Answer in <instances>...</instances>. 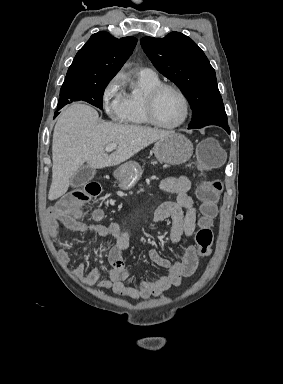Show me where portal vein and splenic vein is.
Wrapping results in <instances>:
<instances>
[{
    "label": "portal vein and splenic vein",
    "instance_id": "1",
    "mask_svg": "<svg viewBox=\"0 0 283 384\" xmlns=\"http://www.w3.org/2000/svg\"><path fill=\"white\" fill-rule=\"evenodd\" d=\"M117 144H107L105 148V152H113V150H116Z\"/></svg>",
    "mask_w": 283,
    "mask_h": 384
}]
</instances>
